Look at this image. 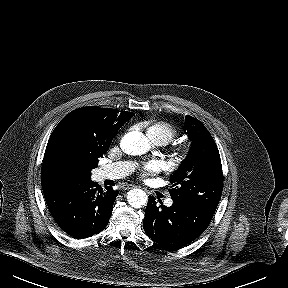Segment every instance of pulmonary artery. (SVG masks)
I'll return each instance as SVG.
<instances>
[{
  "label": "pulmonary artery",
  "mask_w": 288,
  "mask_h": 288,
  "mask_svg": "<svg viewBox=\"0 0 288 288\" xmlns=\"http://www.w3.org/2000/svg\"><path fill=\"white\" fill-rule=\"evenodd\" d=\"M156 145H164L162 142H154ZM134 169V164L131 162H115L109 163L106 165L101 166L97 171V179L104 180V179H118L121 178ZM167 206H171L173 204L172 199H167L165 201Z\"/></svg>",
  "instance_id": "e3ab8cb5"
}]
</instances>
